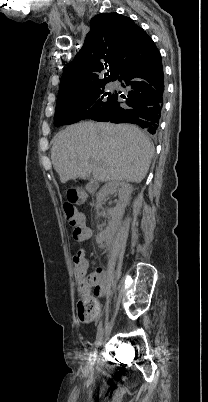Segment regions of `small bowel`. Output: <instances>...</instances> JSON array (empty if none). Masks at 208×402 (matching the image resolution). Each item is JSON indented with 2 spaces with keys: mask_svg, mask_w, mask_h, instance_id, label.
Masks as SVG:
<instances>
[{
  "mask_svg": "<svg viewBox=\"0 0 208 402\" xmlns=\"http://www.w3.org/2000/svg\"><path fill=\"white\" fill-rule=\"evenodd\" d=\"M84 227L86 230L85 237L81 238L82 242H85L86 239H88L91 236V230L86 227L84 223ZM89 268V263L85 259V265L84 267H74V276L77 282V288H78V293L81 296H84L85 298H89L87 295H82L81 294V281L82 280H95L96 281V295H104L106 291V277L101 276L103 273L99 270H93L91 272V275H87V271ZM100 276V277H99ZM101 318L99 315H84L81 318V322L79 324V327L81 330H96L98 327V324L100 323ZM107 328L109 330H114L116 328V323L114 321H109L107 323Z\"/></svg>",
  "mask_w": 208,
  "mask_h": 402,
  "instance_id": "1",
  "label": "small bowel"
}]
</instances>
